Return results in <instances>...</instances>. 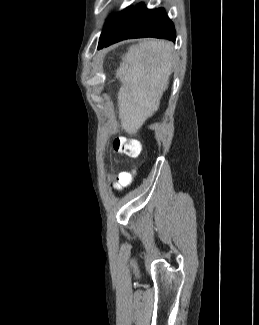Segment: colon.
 <instances>
[{"mask_svg":"<svg viewBox=\"0 0 259 325\" xmlns=\"http://www.w3.org/2000/svg\"><path fill=\"white\" fill-rule=\"evenodd\" d=\"M113 148L116 152L136 157L141 152V145L136 141L126 140L124 138H116L113 142ZM132 174L129 172L120 173L113 181V188L121 190L132 183Z\"/></svg>","mask_w":259,"mask_h":325,"instance_id":"colon-1","label":"colon"}]
</instances>
